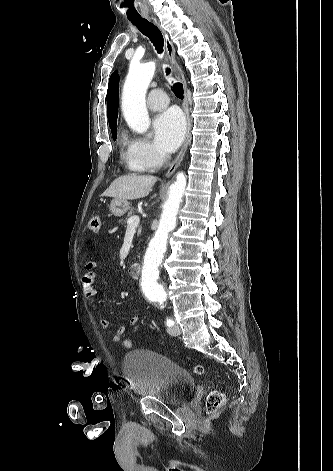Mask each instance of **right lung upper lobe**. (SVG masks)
<instances>
[{
    "instance_id": "1",
    "label": "right lung upper lobe",
    "mask_w": 333,
    "mask_h": 471,
    "mask_svg": "<svg viewBox=\"0 0 333 471\" xmlns=\"http://www.w3.org/2000/svg\"><path fill=\"white\" fill-rule=\"evenodd\" d=\"M119 76L115 71L109 79L107 91V117L111 132L116 129L118 117Z\"/></svg>"
}]
</instances>
